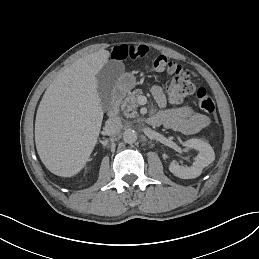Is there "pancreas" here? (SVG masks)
Listing matches in <instances>:
<instances>
[{"label":"pancreas","mask_w":259,"mask_h":259,"mask_svg":"<svg viewBox=\"0 0 259 259\" xmlns=\"http://www.w3.org/2000/svg\"><path fill=\"white\" fill-rule=\"evenodd\" d=\"M141 93L142 91L140 89H137L124 99V101L121 104V110L123 111L125 116L135 117L137 115V96Z\"/></svg>","instance_id":"pancreas-1"}]
</instances>
